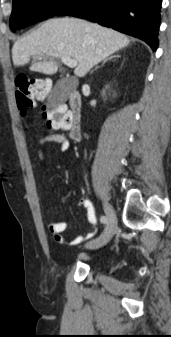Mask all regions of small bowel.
<instances>
[{"mask_svg": "<svg viewBox=\"0 0 171 337\" xmlns=\"http://www.w3.org/2000/svg\"><path fill=\"white\" fill-rule=\"evenodd\" d=\"M48 143H53V144L58 145L60 149L63 151H67L70 148L69 140L62 133H53V134H49L41 138L38 141L37 147H36L37 159L41 163H43L46 159L45 153H44V147ZM83 206L87 210V219L90 225L89 229L86 232L79 234L78 236L72 239H69L64 236V233L68 229V223L64 221H51L48 224V228L57 242L64 244V245H76L84 241H87L96 235L97 226H96V216H95L94 208L89 200H84Z\"/></svg>", "mask_w": 171, "mask_h": 337, "instance_id": "1", "label": "small bowel"}]
</instances>
